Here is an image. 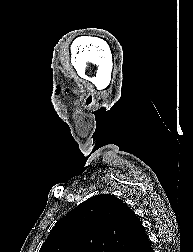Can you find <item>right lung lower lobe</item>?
<instances>
[{"label": "right lung lower lobe", "mask_w": 193, "mask_h": 252, "mask_svg": "<svg viewBox=\"0 0 193 252\" xmlns=\"http://www.w3.org/2000/svg\"><path fill=\"white\" fill-rule=\"evenodd\" d=\"M129 252H153L150 241L146 233H144L135 246Z\"/></svg>", "instance_id": "obj_1"}]
</instances>
